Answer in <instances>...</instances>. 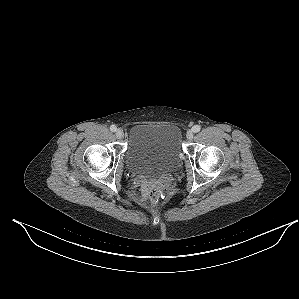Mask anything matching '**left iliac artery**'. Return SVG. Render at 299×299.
I'll use <instances>...</instances> for the list:
<instances>
[{"instance_id":"44dca946","label":"left iliac artery","mask_w":299,"mask_h":299,"mask_svg":"<svg viewBox=\"0 0 299 299\" xmlns=\"http://www.w3.org/2000/svg\"><path fill=\"white\" fill-rule=\"evenodd\" d=\"M201 130V127L199 125H195L193 128H192V131L193 132H199Z\"/></svg>"}]
</instances>
